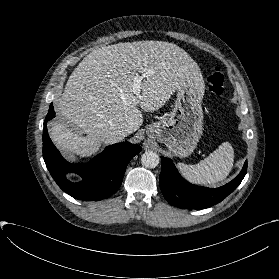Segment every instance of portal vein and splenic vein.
I'll list each match as a JSON object with an SVG mask.
<instances>
[{"mask_svg": "<svg viewBox=\"0 0 279 279\" xmlns=\"http://www.w3.org/2000/svg\"><path fill=\"white\" fill-rule=\"evenodd\" d=\"M146 76H147L146 73L142 74L141 76L136 74L133 79V90H134V93L138 96V98H141V95H140L141 84H142V80Z\"/></svg>", "mask_w": 279, "mask_h": 279, "instance_id": "18ae733b", "label": "portal vein and splenic vein"}]
</instances>
